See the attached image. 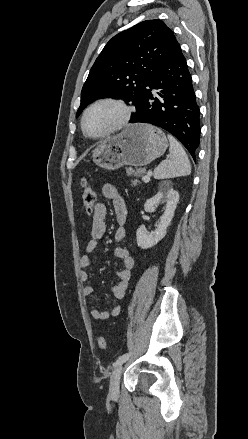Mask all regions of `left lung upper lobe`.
<instances>
[{
	"label": "left lung upper lobe",
	"mask_w": 248,
	"mask_h": 439,
	"mask_svg": "<svg viewBox=\"0 0 248 439\" xmlns=\"http://www.w3.org/2000/svg\"><path fill=\"white\" fill-rule=\"evenodd\" d=\"M177 43L161 20L140 22L114 36L90 70L76 116L101 98L125 99L137 111L149 81Z\"/></svg>",
	"instance_id": "1"
}]
</instances>
